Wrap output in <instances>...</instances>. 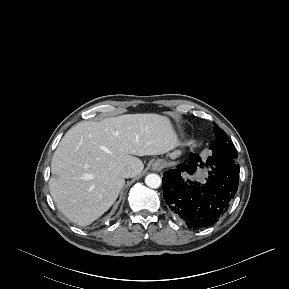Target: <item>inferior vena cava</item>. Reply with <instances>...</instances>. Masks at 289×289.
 Segmentation results:
<instances>
[{
	"label": "inferior vena cava",
	"instance_id": "602c4592",
	"mask_svg": "<svg viewBox=\"0 0 289 289\" xmlns=\"http://www.w3.org/2000/svg\"><path fill=\"white\" fill-rule=\"evenodd\" d=\"M122 177L124 178H130L132 176L131 169H126L121 173Z\"/></svg>",
	"mask_w": 289,
	"mask_h": 289
}]
</instances>
